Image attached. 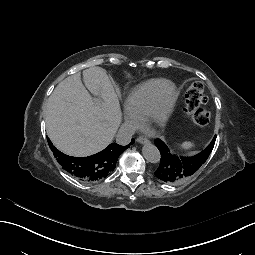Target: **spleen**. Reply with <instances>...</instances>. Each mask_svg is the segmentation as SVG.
<instances>
[{
    "mask_svg": "<svg viewBox=\"0 0 255 255\" xmlns=\"http://www.w3.org/2000/svg\"><path fill=\"white\" fill-rule=\"evenodd\" d=\"M183 146H184L185 148H188V147H190V146H191V143H189V142H185V143L183 144Z\"/></svg>",
    "mask_w": 255,
    "mask_h": 255,
    "instance_id": "1",
    "label": "spleen"
}]
</instances>
